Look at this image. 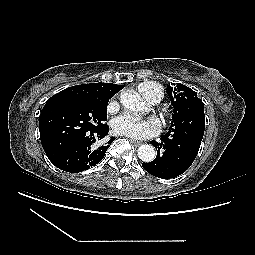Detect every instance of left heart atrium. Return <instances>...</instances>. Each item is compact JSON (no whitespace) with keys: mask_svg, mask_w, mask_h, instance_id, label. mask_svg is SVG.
Instances as JSON below:
<instances>
[{"mask_svg":"<svg viewBox=\"0 0 255 255\" xmlns=\"http://www.w3.org/2000/svg\"><path fill=\"white\" fill-rule=\"evenodd\" d=\"M115 133L136 139H144L158 133L159 124L153 118H138L129 114H121L111 121Z\"/></svg>","mask_w":255,"mask_h":255,"instance_id":"left-heart-atrium-1","label":"left heart atrium"}]
</instances>
